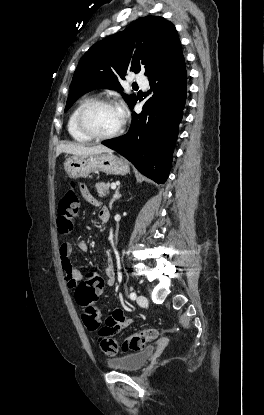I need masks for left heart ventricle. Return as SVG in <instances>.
<instances>
[{
  "label": "left heart ventricle",
  "instance_id": "b2bd125f",
  "mask_svg": "<svg viewBox=\"0 0 264 415\" xmlns=\"http://www.w3.org/2000/svg\"><path fill=\"white\" fill-rule=\"evenodd\" d=\"M90 129L100 135L110 134L118 129L122 115L117 107L102 106L92 110L86 117Z\"/></svg>",
  "mask_w": 264,
  "mask_h": 415
}]
</instances>
